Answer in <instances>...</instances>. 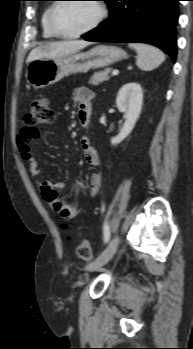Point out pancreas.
<instances>
[{
    "mask_svg": "<svg viewBox=\"0 0 193 349\" xmlns=\"http://www.w3.org/2000/svg\"><path fill=\"white\" fill-rule=\"evenodd\" d=\"M110 71H111V69L107 68L103 71L94 73V75L91 77L89 83L93 84V85H98L99 83L107 81L109 79L108 74L110 73Z\"/></svg>",
    "mask_w": 193,
    "mask_h": 349,
    "instance_id": "cf45deb5",
    "label": "pancreas"
}]
</instances>
